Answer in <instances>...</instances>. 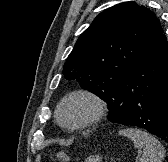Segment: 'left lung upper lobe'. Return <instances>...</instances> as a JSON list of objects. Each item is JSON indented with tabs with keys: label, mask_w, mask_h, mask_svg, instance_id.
I'll use <instances>...</instances> for the list:
<instances>
[{
	"label": "left lung upper lobe",
	"mask_w": 168,
	"mask_h": 162,
	"mask_svg": "<svg viewBox=\"0 0 168 162\" xmlns=\"http://www.w3.org/2000/svg\"><path fill=\"white\" fill-rule=\"evenodd\" d=\"M162 33L151 10L134 1L117 4L80 35L62 73L108 103Z\"/></svg>",
	"instance_id": "obj_1"
}]
</instances>
